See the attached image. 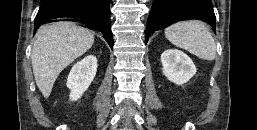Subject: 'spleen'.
Listing matches in <instances>:
<instances>
[{"instance_id":"obj_1","label":"spleen","mask_w":257,"mask_h":130,"mask_svg":"<svg viewBox=\"0 0 257 130\" xmlns=\"http://www.w3.org/2000/svg\"><path fill=\"white\" fill-rule=\"evenodd\" d=\"M166 38L175 46L200 59L212 61L216 44L207 26L198 20L178 22L165 29Z\"/></svg>"}]
</instances>
